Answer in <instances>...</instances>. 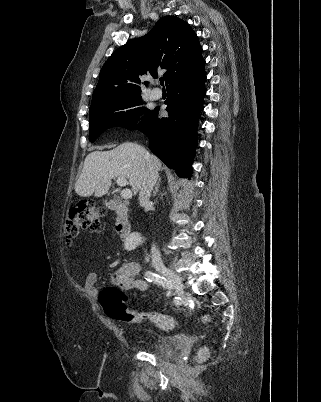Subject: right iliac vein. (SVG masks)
<instances>
[{
  "mask_svg": "<svg viewBox=\"0 0 321 402\" xmlns=\"http://www.w3.org/2000/svg\"><path fill=\"white\" fill-rule=\"evenodd\" d=\"M156 269L160 274L166 276L170 280L172 287L175 290V293L180 298L183 299L184 298V290H183V284H182L180 277L177 274H175L173 271H171L170 269H168L164 266H158Z\"/></svg>",
  "mask_w": 321,
  "mask_h": 402,
  "instance_id": "63e3f726",
  "label": "right iliac vein"
}]
</instances>
